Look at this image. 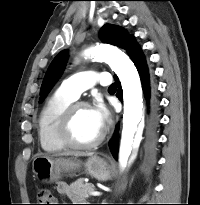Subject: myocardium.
Wrapping results in <instances>:
<instances>
[{
    "label": "myocardium",
    "mask_w": 200,
    "mask_h": 205,
    "mask_svg": "<svg viewBox=\"0 0 200 205\" xmlns=\"http://www.w3.org/2000/svg\"><path fill=\"white\" fill-rule=\"evenodd\" d=\"M90 108L89 104L85 102H73L71 103L63 112L59 124H58V136L61 142L69 148L72 149H91L99 144L105 138L106 132L102 129L99 136L91 142L81 143L76 141L72 136V123L74 116L79 108Z\"/></svg>",
    "instance_id": "obj_1"
}]
</instances>
